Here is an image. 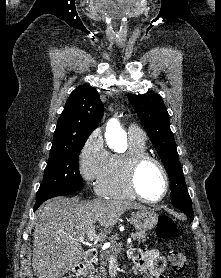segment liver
<instances>
[{
  "mask_svg": "<svg viewBox=\"0 0 221 278\" xmlns=\"http://www.w3.org/2000/svg\"><path fill=\"white\" fill-rule=\"evenodd\" d=\"M146 209L127 200L94 199L78 202L57 197L37 211L32 267L37 278H59L79 265L85 252L79 238L99 222L101 237L111 233L127 210Z\"/></svg>",
  "mask_w": 221,
  "mask_h": 278,
  "instance_id": "6515ba94",
  "label": "liver"
}]
</instances>
